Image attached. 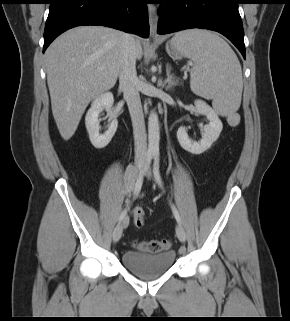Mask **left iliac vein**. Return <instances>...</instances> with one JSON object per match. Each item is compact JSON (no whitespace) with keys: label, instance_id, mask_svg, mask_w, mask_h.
<instances>
[{"label":"left iliac vein","instance_id":"left-iliac-vein-1","mask_svg":"<svg viewBox=\"0 0 290 321\" xmlns=\"http://www.w3.org/2000/svg\"><path fill=\"white\" fill-rule=\"evenodd\" d=\"M147 177L150 178L151 177V172L148 171L147 172ZM176 235L178 237V239L184 243L186 241V233H185V230L184 228L181 226V225H177L176 226Z\"/></svg>","mask_w":290,"mask_h":321}]
</instances>
